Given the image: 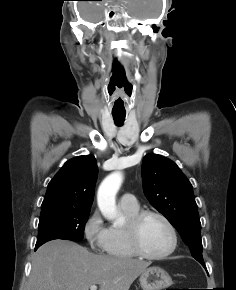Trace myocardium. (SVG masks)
Masks as SVG:
<instances>
[{
	"label": "myocardium",
	"mask_w": 236,
	"mask_h": 290,
	"mask_svg": "<svg viewBox=\"0 0 236 290\" xmlns=\"http://www.w3.org/2000/svg\"><path fill=\"white\" fill-rule=\"evenodd\" d=\"M149 216H154L162 220L171 234V245L169 249L163 253L150 254L144 250L141 244L140 239L141 226L143 221ZM126 234L128 237L129 244L135 255L148 260L165 259L174 253L178 245L177 231L172 222L163 213L152 209L138 211L135 215L129 218L128 223L126 225Z\"/></svg>",
	"instance_id": "1"
}]
</instances>
